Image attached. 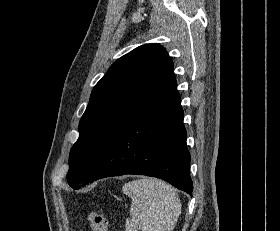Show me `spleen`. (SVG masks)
I'll return each instance as SVG.
<instances>
[{"mask_svg":"<svg viewBox=\"0 0 280 231\" xmlns=\"http://www.w3.org/2000/svg\"><path fill=\"white\" fill-rule=\"evenodd\" d=\"M122 191L132 199L126 231H173L182 205L172 185L143 177L124 183Z\"/></svg>","mask_w":280,"mask_h":231,"instance_id":"obj_1","label":"spleen"}]
</instances>
